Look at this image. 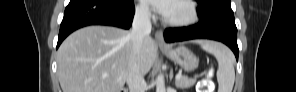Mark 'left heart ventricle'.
I'll use <instances>...</instances> for the list:
<instances>
[{
	"label": "left heart ventricle",
	"instance_id": "b2bd125f",
	"mask_svg": "<svg viewBox=\"0 0 296 92\" xmlns=\"http://www.w3.org/2000/svg\"><path fill=\"white\" fill-rule=\"evenodd\" d=\"M188 10L182 3L174 2L172 4V9L169 15L166 17L168 19L177 20L183 19L187 16Z\"/></svg>",
	"mask_w": 296,
	"mask_h": 92
}]
</instances>
